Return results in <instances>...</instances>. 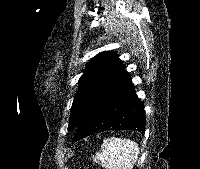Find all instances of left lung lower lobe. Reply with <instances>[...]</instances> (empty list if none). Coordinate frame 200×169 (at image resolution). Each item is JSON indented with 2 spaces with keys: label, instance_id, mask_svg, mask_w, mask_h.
I'll use <instances>...</instances> for the list:
<instances>
[{
  "label": "left lung lower lobe",
  "instance_id": "left-lung-lower-lobe-1",
  "mask_svg": "<svg viewBox=\"0 0 200 169\" xmlns=\"http://www.w3.org/2000/svg\"><path fill=\"white\" fill-rule=\"evenodd\" d=\"M144 103L136 96L131 78L100 99L76 129L73 143L105 130L145 132Z\"/></svg>",
  "mask_w": 200,
  "mask_h": 169
}]
</instances>
